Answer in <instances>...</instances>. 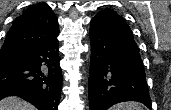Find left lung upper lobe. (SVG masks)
I'll list each match as a JSON object with an SVG mask.
<instances>
[{
  "mask_svg": "<svg viewBox=\"0 0 171 110\" xmlns=\"http://www.w3.org/2000/svg\"><path fill=\"white\" fill-rule=\"evenodd\" d=\"M95 17L106 20L110 25L114 27L116 31L119 33L131 38H133L132 31L130 27L127 25L126 21L123 17L119 16L112 9H105L100 11Z\"/></svg>",
  "mask_w": 171,
  "mask_h": 110,
  "instance_id": "1",
  "label": "left lung upper lobe"
}]
</instances>
